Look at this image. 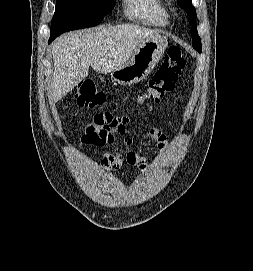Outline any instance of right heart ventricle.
Wrapping results in <instances>:
<instances>
[{
    "mask_svg": "<svg viewBox=\"0 0 253 271\" xmlns=\"http://www.w3.org/2000/svg\"><path fill=\"white\" fill-rule=\"evenodd\" d=\"M129 16L151 26L169 24V10L164 0H124Z\"/></svg>",
    "mask_w": 253,
    "mask_h": 271,
    "instance_id": "1",
    "label": "right heart ventricle"
}]
</instances>
